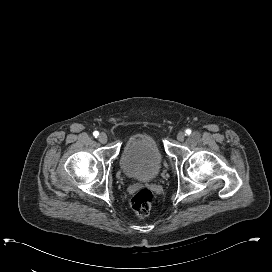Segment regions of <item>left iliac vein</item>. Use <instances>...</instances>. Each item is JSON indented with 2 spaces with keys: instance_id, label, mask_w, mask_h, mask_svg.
I'll return each instance as SVG.
<instances>
[{
  "instance_id": "1",
  "label": "left iliac vein",
  "mask_w": 272,
  "mask_h": 272,
  "mask_svg": "<svg viewBox=\"0 0 272 272\" xmlns=\"http://www.w3.org/2000/svg\"><path fill=\"white\" fill-rule=\"evenodd\" d=\"M185 136H186V134H185L184 132L180 131V132L177 134V139H178V141L183 142V141L185 140Z\"/></svg>"
}]
</instances>
